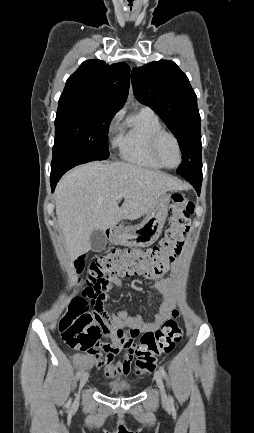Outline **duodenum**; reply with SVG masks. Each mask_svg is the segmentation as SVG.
Here are the masks:
<instances>
[{
    "instance_id": "obj_1",
    "label": "duodenum",
    "mask_w": 254,
    "mask_h": 433,
    "mask_svg": "<svg viewBox=\"0 0 254 433\" xmlns=\"http://www.w3.org/2000/svg\"><path fill=\"white\" fill-rule=\"evenodd\" d=\"M120 228H121V226L119 224L114 225L113 227L110 228L109 234L112 235V234L118 232Z\"/></svg>"
}]
</instances>
